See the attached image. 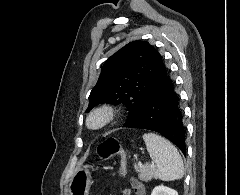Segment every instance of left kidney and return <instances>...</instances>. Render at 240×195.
<instances>
[{
	"mask_svg": "<svg viewBox=\"0 0 240 195\" xmlns=\"http://www.w3.org/2000/svg\"><path fill=\"white\" fill-rule=\"evenodd\" d=\"M151 195H178V191L172 187H167V185H156L152 189Z\"/></svg>",
	"mask_w": 240,
	"mask_h": 195,
	"instance_id": "5707ae66",
	"label": "left kidney"
}]
</instances>
